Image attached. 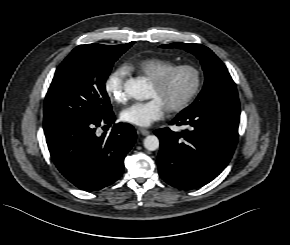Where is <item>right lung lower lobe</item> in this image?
Here are the masks:
<instances>
[{"label": "right lung lower lobe", "mask_w": 290, "mask_h": 245, "mask_svg": "<svg viewBox=\"0 0 290 245\" xmlns=\"http://www.w3.org/2000/svg\"><path fill=\"white\" fill-rule=\"evenodd\" d=\"M115 121L111 111L103 119L44 124L48 149L58 170L75 186L94 191L120 178L123 162L136 140L130 124H114L111 133L96 135L100 125Z\"/></svg>", "instance_id": "1"}]
</instances>
